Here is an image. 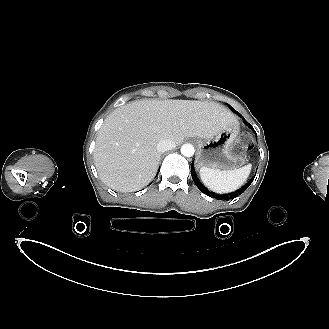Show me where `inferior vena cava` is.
I'll return each mask as SVG.
<instances>
[{"label":"inferior vena cava","mask_w":329,"mask_h":329,"mask_svg":"<svg viewBox=\"0 0 329 329\" xmlns=\"http://www.w3.org/2000/svg\"><path fill=\"white\" fill-rule=\"evenodd\" d=\"M175 147V142L171 139H162L157 143V151L163 153Z\"/></svg>","instance_id":"inferior-vena-cava-1"}]
</instances>
